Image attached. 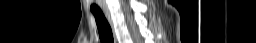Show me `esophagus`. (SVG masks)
Here are the masks:
<instances>
[{
    "label": "esophagus",
    "instance_id": "34e87169",
    "mask_svg": "<svg viewBox=\"0 0 256 43\" xmlns=\"http://www.w3.org/2000/svg\"><path fill=\"white\" fill-rule=\"evenodd\" d=\"M104 14H105V16H106V18H107V20H108V22H109V24H110V26L112 28L113 36H114V43H119V41H118V39H117V37L115 35V32H114V24H113V20H112L110 11L107 8L104 9Z\"/></svg>",
    "mask_w": 256,
    "mask_h": 43
}]
</instances>
